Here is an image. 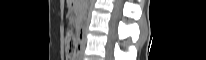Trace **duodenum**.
<instances>
[{
  "mask_svg": "<svg viewBox=\"0 0 206 60\" xmlns=\"http://www.w3.org/2000/svg\"><path fill=\"white\" fill-rule=\"evenodd\" d=\"M77 36L79 37V40H81L84 36V31H83V28L81 25H79L78 27V33H77Z\"/></svg>",
  "mask_w": 206,
  "mask_h": 60,
  "instance_id": "duodenum-1",
  "label": "duodenum"
}]
</instances>
